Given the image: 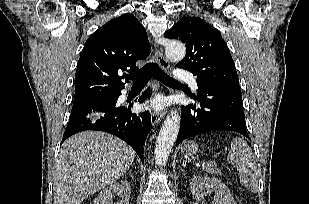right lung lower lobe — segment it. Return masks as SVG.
<instances>
[{
    "instance_id": "1",
    "label": "right lung lower lobe",
    "mask_w": 309,
    "mask_h": 204,
    "mask_svg": "<svg viewBox=\"0 0 309 204\" xmlns=\"http://www.w3.org/2000/svg\"><path fill=\"white\" fill-rule=\"evenodd\" d=\"M149 94V89L144 95ZM120 93L106 100H94L74 105L62 142L69 136L85 131L98 130L116 135L127 142L143 161L144 141L151 130V117L148 111L142 114L131 113V105H116ZM144 101L143 96L138 102Z\"/></svg>"
}]
</instances>
